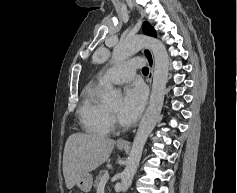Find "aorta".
<instances>
[{
  "instance_id": "aorta-1",
  "label": "aorta",
  "mask_w": 237,
  "mask_h": 193,
  "mask_svg": "<svg viewBox=\"0 0 237 193\" xmlns=\"http://www.w3.org/2000/svg\"><path fill=\"white\" fill-rule=\"evenodd\" d=\"M144 47L150 49L154 56L152 90L148 107L139 124L125 169L121 174V190L123 193L128 190L132 183L144 145L159 120L164 103L170 60L164 44L158 39L146 35H128L114 48L112 55V61L118 63L126 60ZM120 97V91L111 88L106 100L116 102Z\"/></svg>"
}]
</instances>
